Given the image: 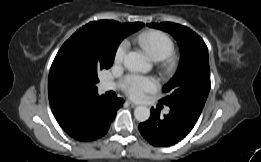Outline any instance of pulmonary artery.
<instances>
[{
    "label": "pulmonary artery",
    "instance_id": "1",
    "mask_svg": "<svg viewBox=\"0 0 261 162\" xmlns=\"http://www.w3.org/2000/svg\"><path fill=\"white\" fill-rule=\"evenodd\" d=\"M115 89V85L113 83L110 82H103L102 83V90L103 91H110V90H114ZM169 109H165V113H168Z\"/></svg>",
    "mask_w": 261,
    "mask_h": 162
}]
</instances>
